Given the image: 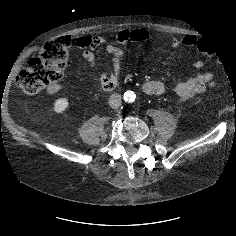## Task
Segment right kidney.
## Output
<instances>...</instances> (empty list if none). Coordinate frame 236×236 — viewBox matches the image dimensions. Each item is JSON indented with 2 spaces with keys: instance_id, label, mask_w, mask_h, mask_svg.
<instances>
[{
  "instance_id": "1",
  "label": "right kidney",
  "mask_w": 236,
  "mask_h": 236,
  "mask_svg": "<svg viewBox=\"0 0 236 236\" xmlns=\"http://www.w3.org/2000/svg\"><path fill=\"white\" fill-rule=\"evenodd\" d=\"M69 102L67 98H59L54 102L53 110L56 113H62L68 107Z\"/></svg>"
}]
</instances>
